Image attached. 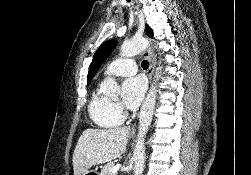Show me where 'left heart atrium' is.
Segmentation results:
<instances>
[{"instance_id": "obj_1", "label": "left heart atrium", "mask_w": 251, "mask_h": 175, "mask_svg": "<svg viewBox=\"0 0 251 175\" xmlns=\"http://www.w3.org/2000/svg\"><path fill=\"white\" fill-rule=\"evenodd\" d=\"M146 91V85L141 76H131L122 84V100L124 105L135 110L140 105Z\"/></svg>"}]
</instances>
